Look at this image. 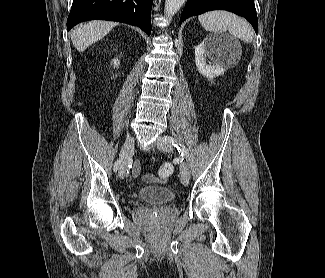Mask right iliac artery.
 I'll return each mask as SVG.
<instances>
[{
	"label": "right iliac artery",
	"instance_id": "right-iliac-artery-1",
	"mask_svg": "<svg viewBox=\"0 0 325 278\" xmlns=\"http://www.w3.org/2000/svg\"><path fill=\"white\" fill-rule=\"evenodd\" d=\"M120 163H121V159H118V160L115 162V164H114V168H113L114 172H117Z\"/></svg>",
	"mask_w": 325,
	"mask_h": 278
}]
</instances>
